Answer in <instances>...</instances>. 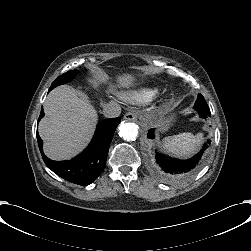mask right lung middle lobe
Returning a JSON list of instances; mask_svg holds the SVG:
<instances>
[{
  "label": "right lung middle lobe",
  "instance_id": "right-lung-middle-lobe-1",
  "mask_svg": "<svg viewBox=\"0 0 251 251\" xmlns=\"http://www.w3.org/2000/svg\"><path fill=\"white\" fill-rule=\"evenodd\" d=\"M78 73V70H71V71H68L66 73H64L63 75L59 76L51 85L50 90L54 89L55 87L59 86V85H62V84H65L69 81H71L75 76L76 74Z\"/></svg>",
  "mask_w": 251,
  "mask_h": 251
}]
</instances>
